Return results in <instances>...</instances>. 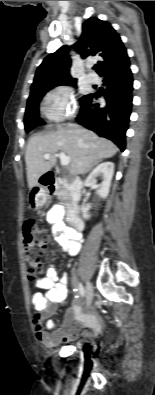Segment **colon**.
<instances>
[{"label":"colon","instance_id":"1","mask_svg":"<svg viewBox=\"0 0 155 395\" xmlns=\"http://www.w3.org/2000/svg\"><path fill=\"white\" fill-rule=\"evenodd\" d=\"M23 249L25 261L28 265V279H40L42 265L47 261V244L50 235L28 220L23 225Z\"/></svg>","mask_w":155,"mask_h":395}]
</instances>
